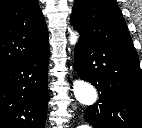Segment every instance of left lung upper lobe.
I'll use <instances>...</instances> for the list:
<instances>
[{
  "instance_id": "5c2ea615",
  "label": "left lung upper lobe",
  "mask_w": 142,
  "mask_h": 128,
  "mask_svg": "<svg viewBox=\"0 0 142 128\" xmlns=\"http://www.w3.org/2000/svg\"><path fill=\"white\" fill-rule=\"evenodd\" d=\"M70 20L81 35L138 58L126 22L115 0H75Z\"/></svg>"
}]
</instances>
